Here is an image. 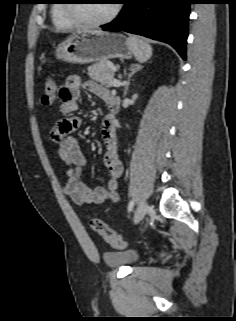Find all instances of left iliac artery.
Listing matches in <instances>:
<instances>
[{
    "label": "left iliac artery",
    "instance_id": "44dca946",
    "mask_svg": "<svg viewBox=\"0 0 236 321\" xmlns=\"http://www.w3.org/2000/svg\"><path fill=\"white\" fill-rule=\"evenodd\" d=\"M134 206V200H131L128 205V211L130 212L133 209Z\"/></svg>",
    "mask_w": 236,
    "mask_h": 321
}]
</instances>
